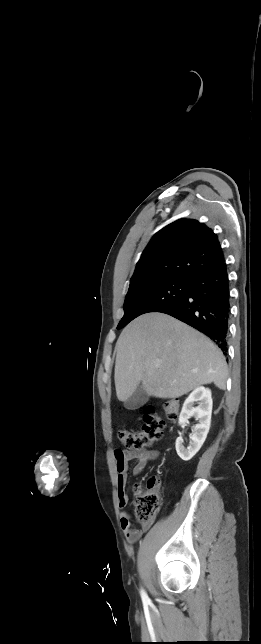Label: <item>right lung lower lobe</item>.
<instances>
[{"mask_svg": "<svg viewBox=\"0 0 261 644\" xmlns=\"http://www.w3.org/2000/svg\"><path fill=\"white\" fill-rule=\"evenodd\" d=\"M159 312L196 328L227 351L230 290L225 262L190 279L187 294L175 305Z\"/></svg>", "mask_w": 261, "mask_h": 644, "instance_id": "1", "label": "right lung lower lobe"}]
</instances>
